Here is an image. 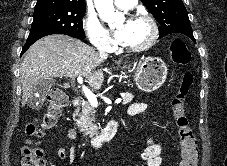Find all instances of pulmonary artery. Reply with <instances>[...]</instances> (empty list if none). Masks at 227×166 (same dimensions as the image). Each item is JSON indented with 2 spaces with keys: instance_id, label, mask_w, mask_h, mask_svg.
<instances>
[{
  "instance_id": "pulmonary-artery-1",
  "label": "pulmonary artery",
  "mask_w": 227,
  "mask_h": 166,
  "mask_svg": "<svg viewBox=\"0 0 227 166\" xmlns=\"http://www.w3.org/2000/svg\"><path fill=\"white\" fill-rule=\"evenodd\" d=\"M137 0H114L115 5L120 9H131Z\"/></svg>"
}]
</instances>
